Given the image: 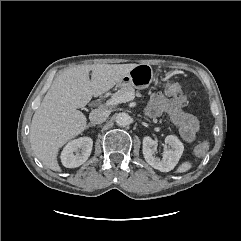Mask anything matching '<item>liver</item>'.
Segmentation results:
<instances>
[{
  "mask_svg": "<svg viewBox=\"0 0 241 241\" xmlns=\"http://www.w3.org/2000/svg\"><path fill=\"white\" fill-rule=\"evenodd\" d=\"M136 65H78L54 79L30 126L31 149L43 165L61 172L57 161L59 149L87 126L85 115L77 109L86 106L93 96L112 89Z\"/></svg>",
  "mask_w": 241,
  "mask_h": 241,
  "instance_id": "6515ba94",
  "label": "liver"
}]
</instances>
